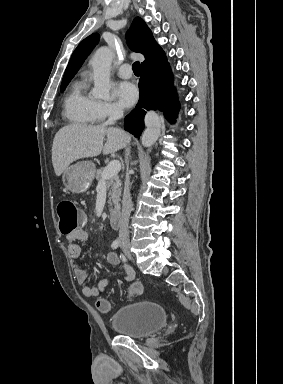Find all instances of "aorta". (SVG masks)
I'll use <instances>...</instances> for the list:
<instances>
[{"instance_id": "obj_1", "label": "aorta", "mask_w": 283, "mask_h": 384, "mask_svg": "<svg viewBox=\"0 0 283 384\" xmlns=\"http://www.w3.org/2000/svg\"><path fill=\"white\" fill-rule=\"evenodd\" d=\"M113 52L108 47L99 48L91 59L93 68L94 88L92 94L100 99H108L111 89L110 66ZM146 129L142 135L141 143L144 147L152 146L159 138L161 121L155 112H148L145 116Z\"/></svg>"}]
</instances>
